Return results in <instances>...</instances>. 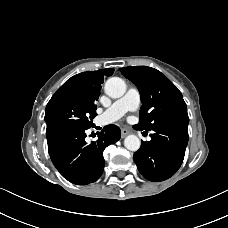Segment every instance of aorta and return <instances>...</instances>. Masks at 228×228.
<instances>
[{"label": "aorta", "mask_w": 228, "mask_h": 228, "mask_svg": "<svg viewBox=\"0 0 228 228\" xmlns=\"http://www.w3.org/2000/svg\"><path fill=\"white\" fill-rule=\"evenodd\" d=\"M104 90L109 97L120 98L126 92V84L123 79L112 77L106 81ZM140 145V139L136 135H129L124 139V146L130 151L139 150Z\"/></svg>", "instance_id": "762f6f07"}]
</instances>
